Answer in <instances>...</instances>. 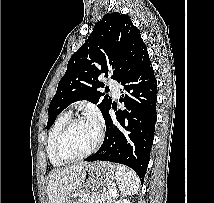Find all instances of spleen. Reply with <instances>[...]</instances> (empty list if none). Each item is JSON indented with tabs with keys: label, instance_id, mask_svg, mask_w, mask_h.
I'll return each instance as SVG.
<instances>
[{
	"label": "spleen",
	"instance_id": "obj_1",
	"mask_svg": "<svg viewBox=\"0 0 214 203\" xmlns=\"http://www.w3.org/2000/svg\"><path fill=\"white\" fill-rule=\"evenodd\" d=\"M116 183L123 195L136 194L140 185L135 172L123 165H116Z\"/></svg>",
	"mask_w": 214,
	"mask_h": 203
}]
</instances>
